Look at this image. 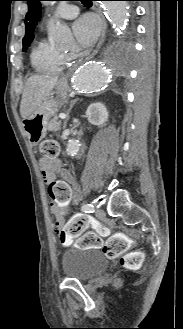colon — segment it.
Segmentation results:
<instances>
[{
	"label": "colon",
	"instance_id": "1",
	"mask_svg": "<svg viewBox=\"0 0 183 329\" xmlns=\"http://www.w3.org/2000/svg\"><path fill=\"white\" fill-rule=\"evenodd\" d=\"M39 151L44 159L52 160L59 154V145L54 140H45L40 144ZM89 224L90 221L85 216L74 217L62 228L61 239L78 238L77 244L81 248H102L108 258H120L121 265L126 268H137L143 262L145 257L143 252H127L130 241L125 235H109L108 229L103 226L97 227L98 233L85 232L89 229ZM100 235L107 236L105 242Z\"/></svg>",
	"mask_w": 183,
	"mask_h": 329
}]
</instances>
